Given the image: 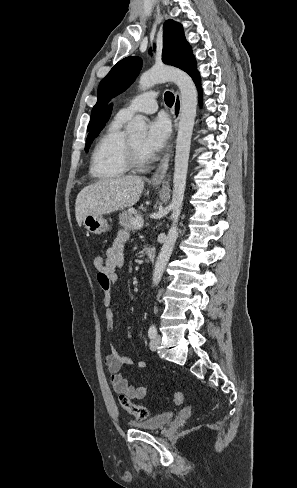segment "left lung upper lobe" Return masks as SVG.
I'll use <instances>...</instances> for the list:
<instances>
[{"label":"left lung upper lobe","instance_id":"left-lung-upper-lobe-1","mask_svg":"<svg viewBox=\"0 0 297 488\" xmlns=\"http://www.w3.org/2000/svg\"><path fill=\"white\" fill-rule=\"evenodd\" d=\"M163 28V62L182 69L191 77L197 74L196 61L182 26L170 19L164 23ZM141 68V58L130 56L119 61L103 78L98 87L97 103L92 109L88 129L107 103L134 82Z\"/></svg>","mask_w":297,"mask_h":488}]
</instances>
